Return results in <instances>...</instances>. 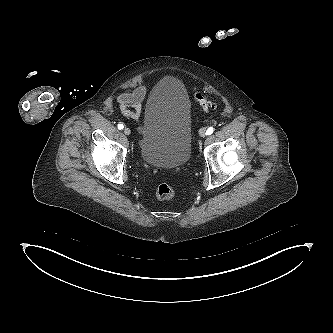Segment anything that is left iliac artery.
I'll return each mask as SVG.
<instances>
[{"mask_svg":"<svg viewBox=\"0 0 333 333\" xmlns=\"http://www.w3.org/2000/svg\"><path fill=\"white\" fill-rule=\"evenodd\" d=\"M214 131V128L213 127H209L207 130H206V135H211Z\"/></svg>","mask_w":333,"mask_h":333,"instance_id":"44dca946","label":"left iliac artery"}]
</instances>
